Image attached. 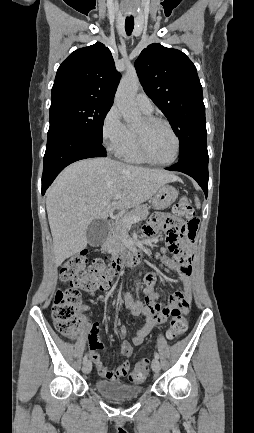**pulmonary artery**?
Returning <instances> with one entry per match:
<instances>
[{"label":"pulmonary artery","mask_w":254,"mask_h":433,"mask_svg":"<svg viewBox=\"0 0 254 433\" xmlns=\"http://www.w3.org/2000/svg\"><path fill=\"white\" fill-rule=\"evenodd\" d=\"M137 108L143 113L150 115L153 112V104L145 93H139L135 98Z\"/></svg>","instance_id":"e3ab8cb5"}]
</instances>
